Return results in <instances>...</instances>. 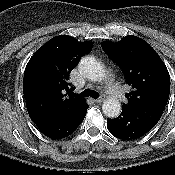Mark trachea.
Instances as JSON below:
<instances>
[{
	"label": "trachea",
	"instance_id": "1",
	"mask_svg": "<svg viewBox=\"0 0 175 175\" xmlns=\"http://www.w3.org/2000/svg\"><path fill=\"white\" fill-rule=\"evenodd\" d=\"M80 98H85V97H92V98H98L99 94L91 89H85L80 95H78Z\"/></svg>",
	"mask_w": 175,
	"mask_h": 175
}]
</instances>
